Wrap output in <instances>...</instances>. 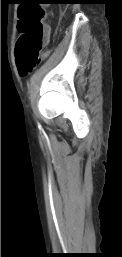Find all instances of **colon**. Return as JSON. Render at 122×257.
I'll use <instances>...</instances> for the list:
<instances>
[{
  "label": "colon",
  "instance_id": "colon-1",
  "mask_svg": "<svg viewBox=\"0 0 122 257\" xmlns=\"http://www.w3.org/2000/svg\"><path fill=\"white\" fill-rule=\"evenodd\" d=\"M42 5H20L16 43V59L19 71L27 73L40 60L48 41V29L43 22Z\"/></svg>",
  "mask_w": 122,
  "mask_h": 257
}]
</instances>
